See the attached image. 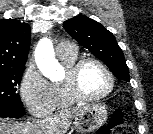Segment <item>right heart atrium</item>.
Instances as JSON below:
<instances>
[{
  "label": "right heart atrium",
  "mask_w": 153,
  "mask_h": 134,
  "mask_svg": "<svg viewBox=\"0 0 153 134\" xmlns=\"http://www.w3.org/2000/svg\"><path fill=\"white\" fill-rule=\"evenodd\" d=\"M20 94L26 109L35 117H44L53 109L51 83L32 64L22 76Z\"/></svg>",
  "instance_id": "d8ad5b80"
}]
</instances>
